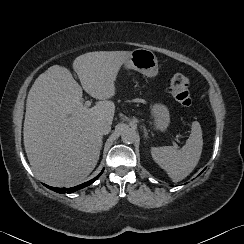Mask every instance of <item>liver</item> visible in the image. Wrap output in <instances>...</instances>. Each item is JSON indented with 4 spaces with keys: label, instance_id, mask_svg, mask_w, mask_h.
<instances>
[{
    "label": "liver",
    "instance_id": "liver-1",
    "mask_svg": "<svg viewBox=\"0 0 244 244\" xmlns=\"http://www.w3.org/2000/svg\"><path fill=\"white\" fill-rule=\"evenodd\" d=\"M130 51H96L73 61L71 72L53 65L32 85L26 103L24 147L30 165L45 182L72 186L94 170L102 147L101 121L112 122L115 81ZM82 88L98 102L82 105Z\"/></svg>",
    "mask_w": 244,
    "mask_h": 244
}]
</instances>
